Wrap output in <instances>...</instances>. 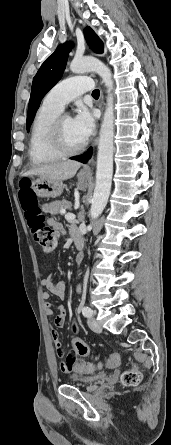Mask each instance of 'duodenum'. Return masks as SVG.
<instances>
[{
    "label": "duodenum",
    "mask_w": 171,
    "mask_h": 445,
    "mask_svg": "<svg viewBox=\"0 0 171 445\" xmlns=\"http://www.w3.org/2000/svg\"><path fill=\"white\" fill-rule=\"evenodd\" d=\"M73 238H74V244H75L76 249L81 251L83 249V247H84V241H83L82 236L81 235H74ZM82 259H83V256L79 255L78 256V260L81 261Z\"/></svg>",
    "instance_id": "1"
}]
</instances>
